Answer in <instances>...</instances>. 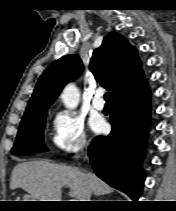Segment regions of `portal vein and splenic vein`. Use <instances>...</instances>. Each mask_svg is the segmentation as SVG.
<instances>
[{"label": "portal vein and splenic vein", "mask_w": 176, "mask_h": 211, "mask_svg": "<svg viewBox=\"0 0 176 211\" xmlns=\"http://www.w3.org/2000/svg\"><path fill=\"white\" fill-rule=\"evenodd\" d=\"M70 201H77V200H75V199H71Z\"/></svg>", "instance_id": "obj_1"}]
</instances>
